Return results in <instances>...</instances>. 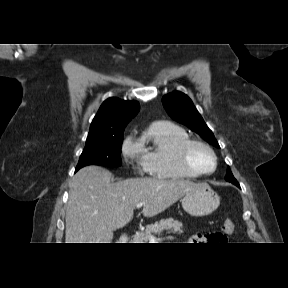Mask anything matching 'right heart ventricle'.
Segmentation results:
<instances>
[{
	"label": "right heart ventricle",
	"mask_w": 288,
	"mask_h": 288,
	"mask_svg": "<svg viewBox=\"0 0 288 288\" xmlns=\"http://www.w3.org/2000/svg\"><path fill=\"white\" fill-rule=\"evenodd\" d=\"M190 139L187 131L168 121L150 124L139 139L142 167L151 176L162 179H194L179 161L180 146Z\"/></svg>",
	"instance_id": "e07e8e85"
}]
</instances>
